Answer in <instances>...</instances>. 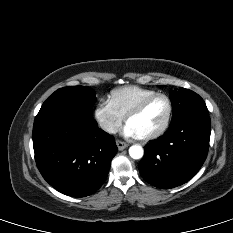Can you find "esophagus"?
<instances>
[{"label":"esophagus","mask_w":233,"mask_h":233,"mask_svg":"<svg viewBox=\"0 0 233 233\" xmlns=\"http://www.w3.org/2000/svg\"><path fill=\"white\" fill-rule=\"evenodd\" d=\"M116 145H117L119 150H124L125 148L128 147V144L121 141V140H116Z\"/></svg>","instance_id":"esophagus-1"}]
</instances>
